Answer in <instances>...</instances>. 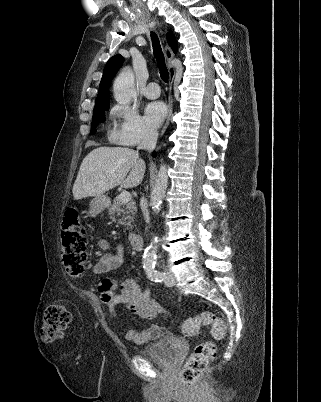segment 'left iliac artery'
<instances>
[{"label": "left iliac artery", "instance_id": "obj_1", "mask_svg": "<svg viewBox=\"0 0 321 402\" xmlns=\"http://www.w3.org/2000/svg\"><path fill=\"white\" fill-rule=\"evenodd\" d=\"M146 274L149 279L155 282H162L165 278V273H161L155 269V265L145 267Z\"/></svg>", "mask_w": 321, "mask_h": 402}]
</instances>
